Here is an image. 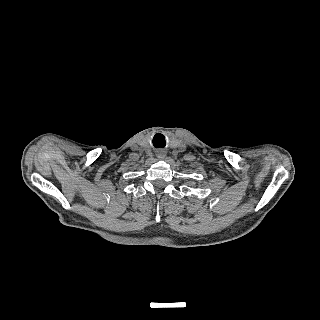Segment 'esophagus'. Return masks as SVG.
I'll return each instance as SVG.
<instances>
[{"label":"esophagus","mask_w":320,"mask_h":320,"mask_svg":"<svg viewBox=\"0 0 320 320\" xmlns=\"http://www.w3.org/2000/svg\"><path fill=\"white\" fill-rule=\"evenodd\" d=\"M165 155H166L165 151L163 150L158 151V154H157L158 158H163Z\"/></svg>","instance_id":"obj_1"}]
</instances>
